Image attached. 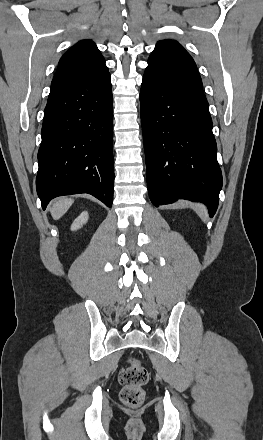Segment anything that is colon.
<instances>
[{"label":"colon","instance_id":"5ec220e1","mask_svg":"<svg viewBox=\"0 0 263 440\" xmlns=\"http://www.w3.org/2000/svg\"><path fill=\"white\" fill-rule=\"evenodd\" d=\"M148 380L149 373L146 366L137 359H130L119 373L122 403L132 408L140 407L145 399L143 387Z\"/></svg>","mask_w":263,"mask_h":440}]
</instances>
